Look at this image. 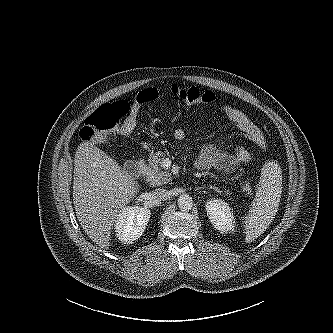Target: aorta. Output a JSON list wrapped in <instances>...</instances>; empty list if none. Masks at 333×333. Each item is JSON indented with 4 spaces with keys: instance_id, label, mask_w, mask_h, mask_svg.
Here are the masks:
<instances>
[{
    "instance_id": "762f6f07",
    "label": "aorta",
    "mask_w": 333,
    "mask_h": 333,
    "mask_svg": "<svg viewBox=\"0 0 333 333\" xmlns=\"http://www.w3.org/2000/svg\"><path fill=\"white\" fill-rule=\"evenodd\" d=\"M178 207L181 211H189L193 207L192 197L188 194H181L178 198Z\"/></svg>"
}]
</instances>
